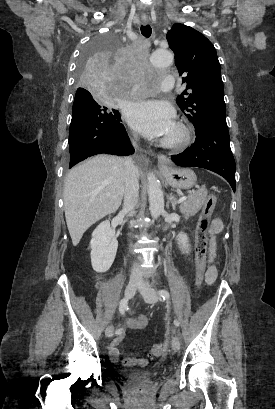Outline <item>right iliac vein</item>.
I'll list each match as a JSON object with an SVG mask.
<instances>
[{
    "mask_svg": "<svg viewBox=\"0 0 275 409\" xmlns=\"http://www.w3.org/2000/svg\"><path fill=\"white\" fill-rule=\"evenodd\" d=\"M139 285L140 284L136 282H129L125 289V297L127 299L132 298L136 292V289L139 287ZM113 332H114V326L110 325L107 327L105 334L108 338H111L113 336Z\"/></svg>",
    "mask_w": 275,
    "mask_h": 409,
    "instance_id": "obj_1",
    "label": "right iliac vein"
}]
</instances>
